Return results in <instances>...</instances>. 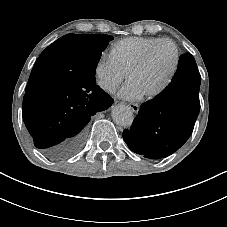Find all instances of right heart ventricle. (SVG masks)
<instances>
[{
  "label": "right heart ventricle",
  "mask_w": 227,
  "mask_h": 227,
  "mask_svg": "<svg viewBox=\"0 0 227 227\" xmlns=\"http://www.w3.org/2000/svg\"><path fill=\"white\" fill-rule=\"evenodd\" d=\"M158 38L127 37L117 41L111 49L110 56L126 74L135 62L142 56L148 46Z\"/></svg>",
  "instance_id": "obj_1"
}]
</instances>
